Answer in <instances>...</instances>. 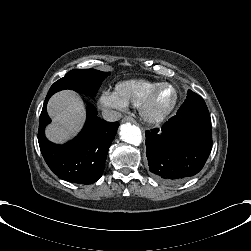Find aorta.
Returning a JSON list of instances; mask_svg holds the SVG:
<instances>
[{
  "mask_svg": "<svg viewBox=\"0 0 251 251\" xmlns=\"http://www.w3.org/2000/svg\"><path fill=\"white\" fill-rule=\"evenodd\" d=\"M120 136L124 142L129 144L141 143V131L139 127L132 125L131 123L121 125Z\"/></svg>",
  "mask_w": 251,
  "mask_h": 251,
  "instance_id": "obj_1",
  "label": "aorta"
}]
</instances>
